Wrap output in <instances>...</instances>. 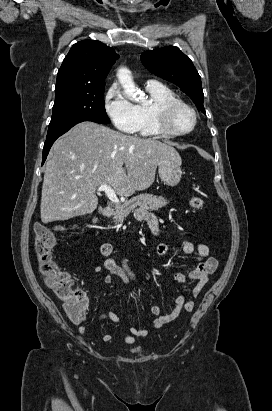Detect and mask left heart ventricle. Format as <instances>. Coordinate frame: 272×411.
<instances>
[{"instance_id": "b2bd125f", "label": "left heart ventricle", "mask_w": 272, "mask_h": 411, "mask_svg": "<svg viewBox=\"0 0 272 411\" xmlns=\"http://www.w3.org/2000/svg\"><path fill=\"white\" fill-rule=\"evenodd\" d=\"M192 123V115L185 109H179L174 112L171 120L172 127L175 130H185Z\"/></svg>"}]
</instances>
